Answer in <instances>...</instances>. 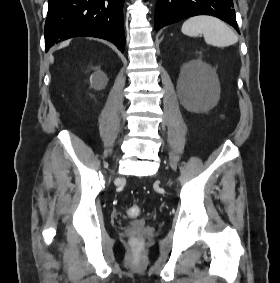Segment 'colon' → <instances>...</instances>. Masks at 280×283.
I'll return each mask as SVG.
<instances>
[{
  "label": "colon",
  "instance_id": "colon-1",
  "mask_svg": "<svg viewBox=\"0 0 280 283\" xmlns=\"http://www.w3.org/2000/svg\"><path fill=\"white\" fill-rule=\"evenodd\" d=\"M127 214L129 217L131 218H136L139 216L140 214V209L138 206L134 205V206H131L127 209Z\"/></svg>",
  "mask_w": 280,
  "mask_h": 283
}]
</instances>
